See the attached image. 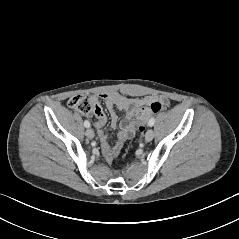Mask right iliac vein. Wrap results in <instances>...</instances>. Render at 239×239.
Here are the masks:
<instances>
[{
  "label": "right iliac vein",
  "instance_id": "1",
  "mask_svg": "<svg viewBox=\"0 0 239 239\" xmlns=\"http://www.w3.org/2000/svg\"><path fill=\"white\" fill-rule=\"evenodd\" d=\"M86 136L88 137V138H90V139H92V138H94V136H95V134H94V131H93V129L92 128H88L87 130H86Z\"/></svg>",
  "mask_w": 239,
  "mask_h": 239
}]
</instances>
